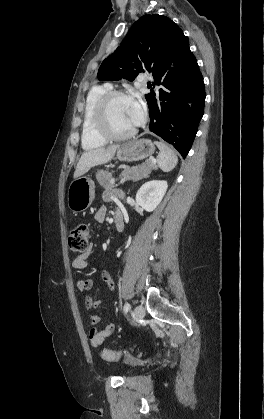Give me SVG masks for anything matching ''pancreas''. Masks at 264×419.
Wrapping results in <instances>:
<instances>
[{
	"label": "pancreas",
	"mask_w": 264,
	"mask_h": 419,
	"mask_svg": "<svg viewBox=\"0 0 264 419\" xmlns=\"http://www.w3.org/2000/svg\"><path fill=\"white\" fill-rule=\"evenodd\" d=\"M156 168V165L152 163L150 160H148L146 163L140 166L125 168L124 171L121 173L120 177L132 175L128 178V180L136 181L141 178L147 177L151 170ZM96 179L99 182V184L102 187H104L105 190H111L114 187L115 181L112 178V172H110L109 170L97 171Z\"/></svg>",
	"instance_id": "cf45deb5"
}]
</instances>
